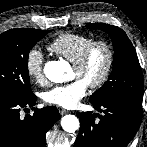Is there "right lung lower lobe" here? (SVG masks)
<instances>
[{"mask_svg":"<svg viewBox=\"0 0 147 147\" xmlns=\"http://www.w3.org/2000/svg\"><path fill=\"white\" fill-rule=\"evenodd\" d=\"M34 94L18 100L0 99V147H45L46 132L59 119L56 107L34 109L33 115L20 117V109L33 107Z\"/></svg>","mask_w":147,"mask_h":147,"instance_id":"1","label":"right lung lower lobe"}]
</instances>
